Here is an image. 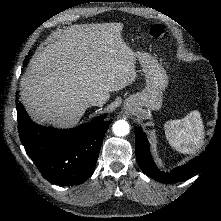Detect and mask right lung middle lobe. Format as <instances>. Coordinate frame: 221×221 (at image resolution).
<instances>
[{
  "label": "right lung middle lobe",
  "mask_w": 221,
  "mask_h": 221,
  "mask_svg": "<svg viewBox=\"0 0 221 221\" xmlns=\"http://www.w3.org/2000/svg\"><path fill=\"white\" fill-rule=\"evenodd\" d=\"M28 62V57H26V59L24 60V65H26Z\"/></svg>",
  "instance_id": "right-lung-middle-lobe-1"
}]
</instances>
